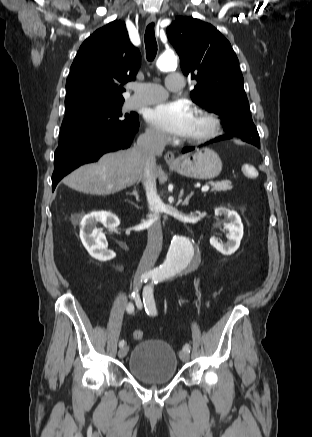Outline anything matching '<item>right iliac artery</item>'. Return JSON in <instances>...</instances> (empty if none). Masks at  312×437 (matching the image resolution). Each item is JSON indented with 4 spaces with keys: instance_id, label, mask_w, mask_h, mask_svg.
Instances as JSON below:
<instances>
[{
    "instance_id": "obj_1",
    "label": "right iliac artery",
    "mask_w": 312,
    "mask_h": 437,
    "mask_svg": "<svg viewBox=\"0 0 312 437\" xmlns=\"http://www.w3.org/2000/svg\"><path fill=\"white\" fill-rule=\"evenodd\" d=\"M151 277H153L151 274H143V275L141 276V280H140V281H141V282H147L148 279H150ZM132 298L135 299V302H136L137 307H138L139 309H141V308H142V302H141L140 296H139V294H138V290H137V291H134V292L132 293ZM127 312H128L129 314H131V313L134 312V305H133V303L130 302V303L128 304V306H127ZM124 344H125V341H124V340H121V341L119 342V346H120V347L124 346Z\"/></svg>"
}]
</instances>
